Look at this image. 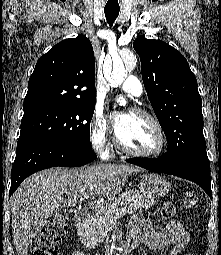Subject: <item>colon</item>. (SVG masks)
<instances>
[{"label": "colon", "mask_w": 221, "mask_h": 255, "mask_svg": "<svg viewBox=\"0 0 221 255\" xmlns=\"http://www.w3.org/2000/svg\"><path fill=\"white\" fill-rule=\"evenodd\" d=\"M198 202V197L193 194L184 199V205L187 208H194ZM67 226L65 217L52 219L32 244L29 255H58L57 245L62 240ZM187 255H193V253L190 252Z\"/></svg>", "instance_id": "1"}]
</instances>
